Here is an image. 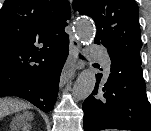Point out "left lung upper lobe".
Returning <instances> with one entry per match:
<instances>
[{"label":"left lung upper lobe","instance_id":"5c2ea615","mask_svg":"<svg viewBox=\"0 0 151 131\" xmlns=\"http://www.w3.org/2000/svg\"><path fill=\"white\" fill-rule=\"evenodd\" d=\"M73 9L97 27L94 42L107 48L111 61L141 65L138 5L134 0H74Z\"/></svg>","mask_w":151,"mask_h":131}]
</instances>
